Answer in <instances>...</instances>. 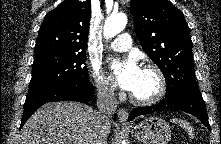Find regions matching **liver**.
<instances>
[{"label":"liver","mask_w":221,"mask_h":144,"mask_svg":"<svg viewBox=\"0 0 221 144\" xmlns=\"http://www.w3.org/2000/svg\"><path fill=\"white\" fill-rule=\"evenodd\" d=\"M96 113L73 101L47 103L26 121L19 144H92ZM104 130L108 136L110 122Z\"/></svg>","instance_id":"6515ba94"}]
</instances>
